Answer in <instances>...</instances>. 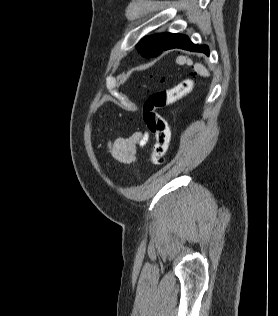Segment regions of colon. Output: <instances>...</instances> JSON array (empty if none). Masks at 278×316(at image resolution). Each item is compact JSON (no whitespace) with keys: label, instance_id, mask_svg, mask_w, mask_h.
Instances as JSON below:
<instances>
[{"label":"colon","instance_id":"1","mask_svg":"<svg viewBox=\"0 0 278 316\" xmlns=\"http://www.w3.org/2000/svg\"><path fill=\"white\" fill-rule=\"evenodd\" d=\"M193 88V81L185 79L181 83L161 91L152 93L144 104L143 120L148 130L154 135L155 143L150 154V162L159 165L163 162L170 141V130L166 120L158 110L172 105L184 97Z\"/></svg>","mask_w":278,"mask_h":316}]
</instances>
